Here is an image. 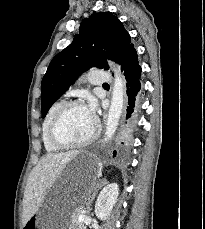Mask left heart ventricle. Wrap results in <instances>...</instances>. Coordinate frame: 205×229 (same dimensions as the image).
<instances>
[{"label": "left heart ventricle", "mask_w": 205, "mask_h": 229, "mask_svg": "<svg viewBox=\"0 0 205 229\" xmlns=\"http://www.w3.org/2000/svg\"><path fill=\"white\" fill-rule=\"evenodd\" d=\"M95 119L85 106L69 108L63 115L57 137L64 142H78L87 138L94 130Z\"/></svg>", "instance_id": "left-heart-ventricle-1"}]
</instances>
